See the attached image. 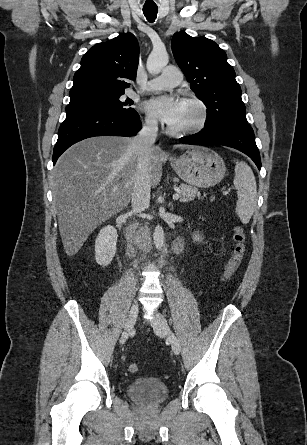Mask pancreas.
Instances as JSON below:
<instances>
[{"mask_svg": "<svg viewBox=\"0 0 307 445\" xmlns=\"http://www.w3.org/2000/svg\"><path fill=\"white\" fill-rule=\"evenodd\" d=\"M179 188H181L180 202H188V200H194L195 196H199V198L201 196L196 186H190V184L181 182ZM203 196H206V194H203ZM210 200H215L214 196H211Z\"/></svg>", "mask_w": 307, "mask_h": 445, "instance_id": "cf45deb5", "label": "pancreas"}]
</instances>
